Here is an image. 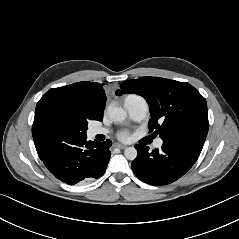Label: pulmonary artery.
<instances>
[{"label": "pulmonary artery", "mask_w": 239, "mask_h": 239, "mask_svg": "<svg viewBox=\"0 0 239 239\" xmlns=\"http://www.w3.org/2000/svg\"><path fill=\"white\" fill-rule=\"evenodd\" d=\"M124 107L127 110L129 117L134 121L144 120L149 111V106L147 101L138 95H128L124 99ZM108 129L102 127H92L88 130V134L92 137L100 134H107ZM163 144L162 139H157L155 142V147H161Z\"/></svg>", "instance_id": "obj_1"}]
</instances>
